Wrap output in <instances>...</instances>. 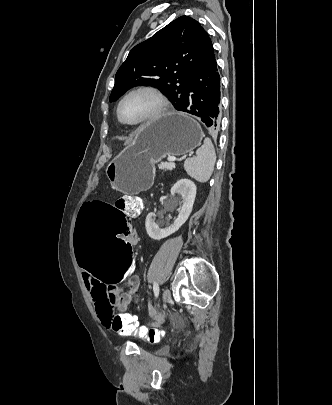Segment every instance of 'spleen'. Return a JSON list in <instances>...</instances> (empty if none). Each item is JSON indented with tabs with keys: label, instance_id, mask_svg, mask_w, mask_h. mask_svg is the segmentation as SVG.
Returning a JSON list of instances; mask_svg holds the SVG:
<instances>
[{
	"label": "spleen",
	"instance_id": "3e777b00",
	"mask_svg": "<svg viewBox=\"0 0 332 405\" xmlns=\"http://www.w3.org/2000/svg\"><path fill=\"white\" fill-rule=\"evenodd\" d=\"M215 162L216 154L212 141L205 138L204 144L196 151V156L185 160L184 169L191 178L205 183L213 173Z\"/></svg>",
	"mask_w": 332,
	"mask_h": 405
}]
</instances>
